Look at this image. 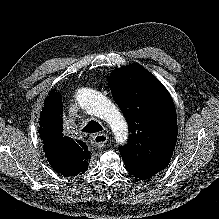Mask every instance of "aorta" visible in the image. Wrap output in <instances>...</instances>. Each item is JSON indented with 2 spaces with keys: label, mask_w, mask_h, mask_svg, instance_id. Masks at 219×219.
Segmentation results:
<instances>
[{
  "label": "aorta",
  "mask_w": 219,
  "mask_h": 219,
  "mask_svg": "<svg viewBox=\"0 0 219 219\" xmlns=\"http://www.w3.org/2000/svg\"><path fill=\"white\" fill-rule=\"evenodd\" d=\"M75 97L85 111L109 124L116 141L125 143L128 138L127 123L118 108L107 97L91 88L78 89Z\"/></svg>",
  "instance_id": "obj_1"
}]
</instances>
